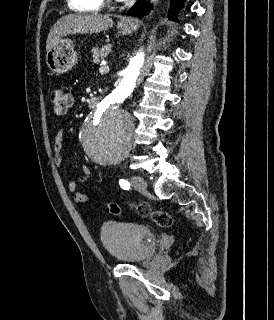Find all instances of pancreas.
I'll list each match as a JSON object with an SVG mask.
<instances>
[{
	"instance_id": "obj_1",
	"label": "pancreas",
	"mask_w": 274,
	"mask_h": 320,
	"mask_svg": "<svg viewBox=\"0 0 274 320\" xmlns=\"http://www.w3.org/2000/svg\"><path fill=\"white\" fill-rule=\"evenodd\" d=\"M110 52H112L111 46H102V48H93L92 50L93 62H99V60H103V58H107Z\"/></svg>"
}]
</instances>
